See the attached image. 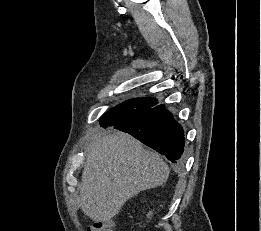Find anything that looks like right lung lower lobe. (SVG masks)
<instances>
[{
	"mask_svg": "<svg viewBox=\"0 0 261 231\" xmlns=\"http://www.w3.org/2000/svg\"><path fill=\"white\" fill-rule=\"evenodd\" d=\"M114 128L129 133L171 162H180L184 151V131L164 105H157Z\"/></svg>",
	"mask_w": 261,
	"mask_h": 231,
	"instance_id": "right-lung-lower-lobe-1",
	"label": "right lung lower lobe"
}]
</instances>
